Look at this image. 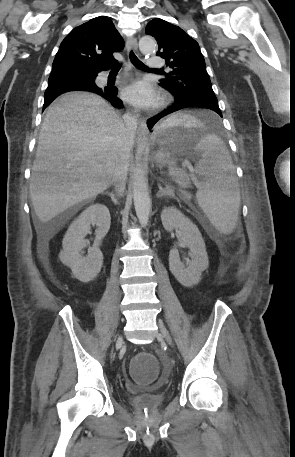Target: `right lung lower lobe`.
Listing matches in <instances>:
<instances>
[{
  "mask_svg": "<svg viewBox=\"0 0 295 457\" xmlns=\"http://www.w3.org/2000/svg\"><path fill=\"white\" fill-rule=\"evenodd\" d=\"M117 63L114 62L110 66L106 67L104 70L112 69L115 64ZM97 77V74L94 75L91 80L92 81H84V80H62V79H52L49 80V85L47 90H64V92L67 91H73V90H84V91H90L94 92L106 100L110 101L112 105L117 106V107H122L123 103L122 101L117 97V88L114 86H107L104 88H100L96 86L95 84V78ZM63 92V93H64ZM62 94V93H60ZM60 94H55L50 97H44V106L43 109L46 108V106L54 100L57 96Z\"/></svg>",
  "mask_w": 295,
  "mask_h": 457,
  "instance_id": "right-lung-lower-lobe-1",
  "label": "right lung lower lobe"
}]
</instances>
